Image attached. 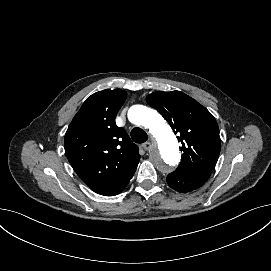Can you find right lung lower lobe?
Segmentation results:
<instances>
[{"label": "right lung lower lobe", "mask_w": 271, "mask_h": 271, "mask_svg": "<svg viewBox=\"0 0 271 271\" xmlns=\"http://www.w3.org/2000/svg\"><path fill=\"white\" fill-rule=\"evenodd\" d=\"M131 178H132V177H131ZM131 178H130V179H131ZM130 179H129V180H130ZM129 180H128V182L125 183L122 187H120V188H118V189L112 191L111 193H109V194H107V195H105V196H114V195L119 194V193L127 186V184L129 183Z\"/></svg>", "instance_id": "1"}]
</instances>
